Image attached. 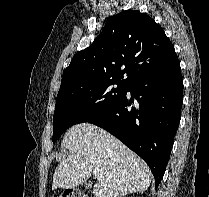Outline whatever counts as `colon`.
Instances as JSON below:
<instances>
[{
  "mask_svg": "<svg viewBox=\"0 0 209 197\" xmlns=\"http://www.w3.org/2000/svg\"><path fill=\"white\" fill-rule=\"evenodd\" d=\"M63 197H87V196L82 194V193H80V192L72 191V192H68Z\"/></svg>",
  "mask_w": 209,
  "mask_h": 197,
  "instance_id": "obj_1",
  "label": "colon"
}]
</instances>
